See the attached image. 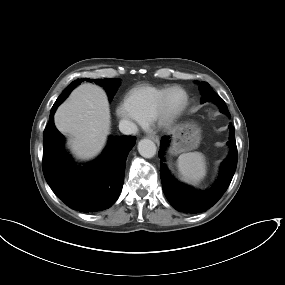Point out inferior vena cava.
<instances>
[{"label":"inferior vena cava","mask_w":285,"mask_h":285,"mask_svg":"<svg viewBox=\"0 0 285 285\" xmlns=\"http://www.w3.org/2000/svg\"><path fill=\"white\" fill-rule=\"evenodd\" d=\"M119 130L125 135H134L137 133V125L127 119H123L119 122Z\"/></svg>","instance_id":"inferior-vena-cava-1"}]
</instances>
